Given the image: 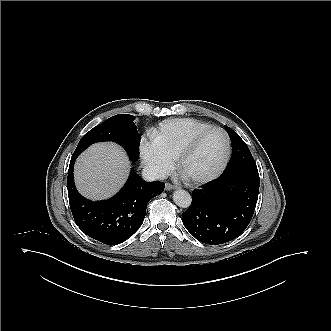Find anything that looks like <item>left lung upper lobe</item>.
I'll list each match as a JSON object with an SVG mask.
<instances>
[{
    "instance_id": "1",
    "label": "left lung upper lobe",
    "mask_w": 331,
    "mask_h": 331,
    "mask_svg": "<svg viewBox=\"0 0 331 331\" xmlns=\"http://www.w3.org/2000/svg\"><path fill=\"white\" fill-rule=\"evenodd\" d=\"M227 133L231 139L232 156L226 170L233 169H251L257 170L254 158L252 157L248 146L240 136L231 128L226 126Z\"/></svg>"
}]
</instances>
